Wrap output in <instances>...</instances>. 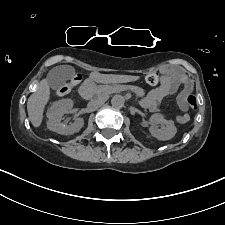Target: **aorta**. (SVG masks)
<instances>
[{"instance_id":"obj_1","label":"aorta","mask_w":225,"mask_h":225,"mask_svg":"<svg viewBox=\"0 0 225 225\" xmlns=\"http://www.w3.org/2000/svg\"><path fill=\"white\" fill-rule=\"evenodd\" d=\"M125 104L124 96L117 94L114 95L111 99V105L116 109H121Z\"/></svg>"}]
</instances>
